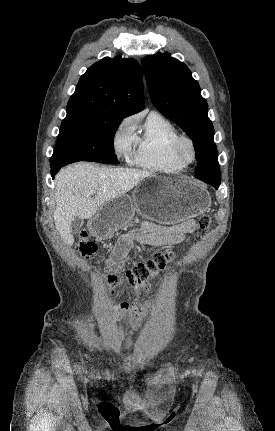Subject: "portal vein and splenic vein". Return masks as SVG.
<instances>
[{
	"instance_id": "1",
	"label": "portal vein and splenic vein",
	"mask_w": 275,
	"mask_h": 431,
	"mask_svg": "<svg viewBox=\"0 0 275 431\" xmlns=\"http://www.w3.org/2000/svg\"><path fill=\"white\" fill-rule=\"evenodd\" d=\"M96 193V191L92 190L90 191V195H94Z\"/></svg>"
}]
</instances>
